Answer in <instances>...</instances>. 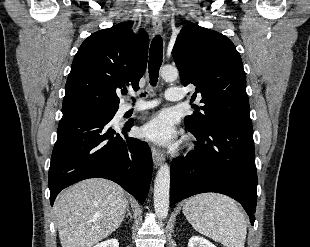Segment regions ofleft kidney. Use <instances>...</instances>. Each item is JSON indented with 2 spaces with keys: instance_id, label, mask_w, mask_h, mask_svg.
<instances>
[{
  "instance_id": "1",
  "label": "left kidney",
  "mask_w": 310,
  "mask_h": 247,
  "mask_svg": "<svg viewBox=\"0 0 310 247\" xmlns=\"http://www.w3.org/2000/svg\"><path fill=\"white\" fill-rule=\"evenodd\" d=\"M188 247H216V246L205 238L199 236H193L190 238L188 242Z\"/></svg>"
}]
</instances>
